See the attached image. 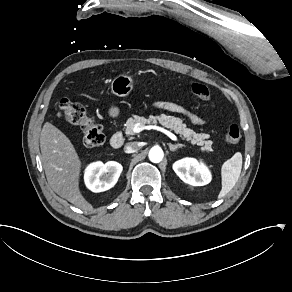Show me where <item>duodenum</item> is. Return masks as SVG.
Masks as SVG:
<instances>
[{
	"mask_svg": "<svg viewBox=\"0 0 292 292\" xmlns=\"http://www.w3.org/2000/svg\"><path fill=\"white\" fill-rule=\"evenodd\" d=\"M124 143V136L121 131H116L111 139H110V145L114 149H119Z\"/></svg>",
	"mask_w": 292,
	"mask_h": 292,
	"instance_id": "duodenum-1",
	"label": "duodenum"
}]
</instances>
